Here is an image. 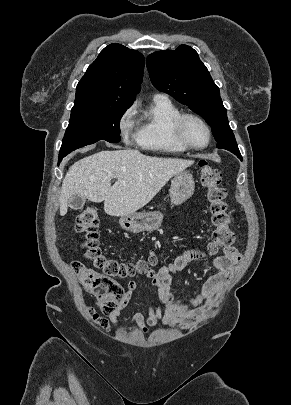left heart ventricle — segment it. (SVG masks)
Returning <instances> with one entry per match:
<instances>
[{
  "label": "left heart ventricle",
  "mask_w": 291,
  "mask_h": 405,
  "mask_svg": "<svg viewBox=\"0 0 291 405\" xmlns=\"http://www.w3.org/2000/svg\"><path fill=\"white\" fill-rule=\"evenodd\" d=\"M186 138L195 146H203L207 142V132L204 127L195 120H188L185 125Z\"/></svg>",
  "instance_id": "obj_1"
}]
</instances>
